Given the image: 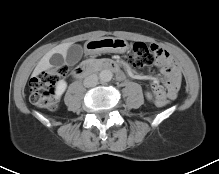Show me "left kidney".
<instances>
[{"instance_id":"1","label":"left kidney","mask_w":219,"mask_h":174,"mask_svg":"<svg viewBox=\"0 0 219 174\" xmlns=\"http://www.w3.org/2000/svg\"><path fill=\"white\" fill-rule=\"evenodd\" d=\"M146 96H147L148 99L152 98V95L150 93H147Z\"/></svg>"}]
</instances>
